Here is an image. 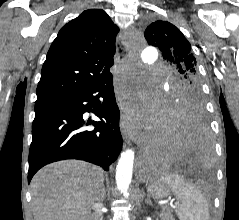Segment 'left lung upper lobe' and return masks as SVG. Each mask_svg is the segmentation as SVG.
Here are the masks:
<instances>
[{
  "label": "left lung upper lobe",
  "instance_id": "obj_1",
  "mask_svg": "<svg viewBox=\"0 0 239 220\" xmlns=\"http://www.w3.org/2000/svg\"><path fill=\"white\" fill-rule=\"evenodd\" d=\"M144 36L148 44L157 47L163 59L177 71V79L169 89L168 107L182 112L192 109L204 111L196 60L182 32L167 21H156L146 28Z\"/></svg>",
  "mask_w": 239,
  "mask_h": 220
}]
</instances>
